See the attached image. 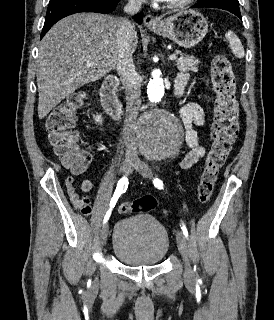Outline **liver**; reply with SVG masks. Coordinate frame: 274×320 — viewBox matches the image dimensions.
I'll return each instance as SVG.
<instances>
[{
	"instance_id": "6515ba94",
	"label": "liver",
	"mask_w": 274,
	"mask_h": 320,
	"mask_svg": "<svg viewBox=\"0 0 274 320\" xmlns=\"http://www.w3.org/2000/svg\"><path fill=\"white\" fill-rule=\"evenodd\" d=\"M119 20L106 14H73L47 32L38 48L39 120L81 86L115 70ZM136 44L137 38L132 42V52Z\"/></svg>"
}]
</instances>
